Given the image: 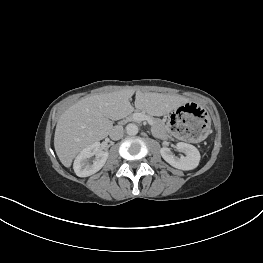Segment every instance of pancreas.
<instances>
[{
    "label": "pancreas",
    "instance_id": "pancreas-1",
    "mask_svg": "<svg viewBox=\"0 0 263 263\" xmlns=\"http://www.w3.org/2000/svg\"><path fill=\"white\" fill-rule=\"evenodd\" d=\"M136 113H142L144 115H147L143 111H136L135 113L129 114L126 119L128 121H134L135 120L134 114H136ZM149 117L152 119V122H153L152 128H151L153 135L157 138H160V139H167L168 134H167V127H166L165 123L161 119L153 118L151 116H149Z\"/></svg>",
    "mask_w": 263,
    "mask_h": 263
}]
</instances>
